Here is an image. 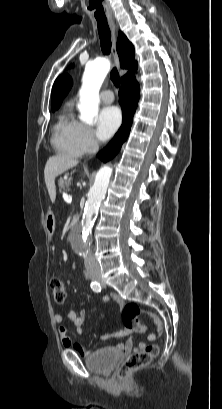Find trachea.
Masks as SVG:
<instances>
[{"label":"trachea","instance_id":"obj_1","mask_svg":"<svg viewBox=\"0 0 222 409\" xmlns=\"http://www.w3.org/2000/svg\"><path fill=\"white\" fill-rule=\"evenodd\" d=\"M97 27L101 49L105 55H109L111 51V32L108 23L107 21L97 19ZM110 78L116 87L120 86L119 74L116 67L112 69Z\"/></svg>","mask_w":222,"mask_h":409}]
</instances>
